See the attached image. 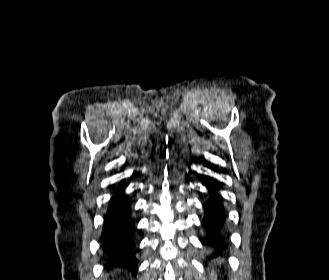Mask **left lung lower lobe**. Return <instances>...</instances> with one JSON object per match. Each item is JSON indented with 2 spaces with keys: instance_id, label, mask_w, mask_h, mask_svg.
Returning <instances> with one entry per match:
<instances>
[{
  "instance_id": "1",
  "label": "left lung lower lobe",
  "mask_w": 329,
  "mask_h": 280,
  "mask_svg": "<svg viewBox=\"0 0 329 280\" xmlns=\"http://www.w3.org/2000/svg\"><path fill=\"white\" fill-rule=\"evenodd\" d=\"M204 211L205 217L203 226L206 228L208 236L213 242H215L219 237L220 227L224 221L222 202L216 193H212V191H210V199L204 205ZM220 253L221 250H217L213 256H217Z\"/></svg>"
}]
</instances>
